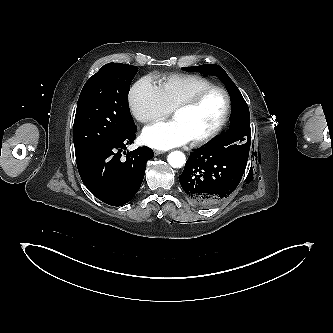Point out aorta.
<instances>
[{
    "mask_svg": "<svg viewBox=\"0 0 333 333\" xmlns=\"http://www.w3.org/2000/svg\"><path fill=\"white\" fill-rule=\"evenodd\" d=\"M167 160L173 168H181L186 162V157L181 151H173L168 155Z\"/></svg>",
    "mask_w": 333,
    "mask_h": 333,
    "instance_id": "aorta-1",
    "label": "aorta"
}]
</instances>
